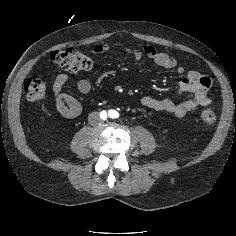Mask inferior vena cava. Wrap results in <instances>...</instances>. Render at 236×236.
<instances>
[{"label":"inferior vena cava","mask_w":236,"mask_h":236,"mask_svg":"<svg viewBox=\"0 0 236 236\" xmlns=\"http://www.w3.org/2000/svg\"><path fill=\"white\" fill-rule=\"evenodd\" d=\"M88 121L91 125L98 124L101 121L99 113L98 112H91L88 116Z\"/></svg>","instance_id":"1"}]
</instances>
